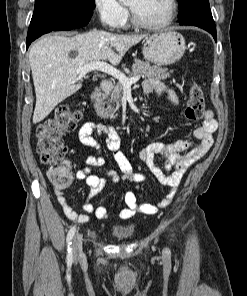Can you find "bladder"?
I'll use <instances>...</instances> for the list:
<instances>
[{
  "label": "bladder",
  "instance_id": "1",
  "mask_svg": "<svg viewBox=\"0 0 247 296\" xmlns=\"http://www.w3.org/2000/svg\"><path fill=\"white\" fill-rule=\"evenodd\" d=\"M133 228L129 226H117L113 229V235L118 240L129 239L133 235Z\"/></svg>",
  "mask_w": 247,
  "mask_h": 296
}]
</instances>
